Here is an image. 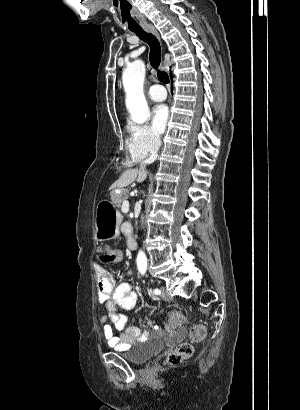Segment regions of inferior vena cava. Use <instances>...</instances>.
I'll list each match as a JSON object with an SVG mask.
<instances>
[{"mask_svg":"<svg viewBox=\"0 0 300 410\" xmlns=\"http://www.w3.org/2000/svg\"><path fill=\"white\" fill-rule=\"evenodd\" d=\"M160 145H161L160 137L158 135H156L153 139V148L151 149L150 156H149L148 159H146L145 161H143L141 163V167H140L141 169H145L146 165H148V164H150V163H152L156 160L157 151H158Z\"/></svg>","mask_w":300,"mask_h":410,"instance_id":"obj_1","label":"inferior vena cava"}]
</instances>
